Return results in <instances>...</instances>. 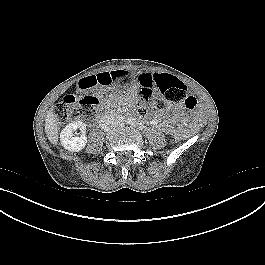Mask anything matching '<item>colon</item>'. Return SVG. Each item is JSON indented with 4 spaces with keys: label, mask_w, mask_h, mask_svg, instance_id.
I'll list each match as a JSON object with an SVG mask.
<instances>
[{
    "label": "colon",
    "mask_w": 265,
    "mask_h": 265,
    "mask_svg": "<svg viewBox=\"0 0 265 265\" xmlns=\"http://www.w3.org/2000/svg\"><path fill=\"white\" fill-rule=\"evenodd\" d=\"M150 84L158 88L160 95L156 94L151 87H143L138 94L140 105L137 112L140 116H148L153 108H160L164 101L183 105L186 110L195 108L197 101L192 96L186 85L177 77L166 73H154L150 77ZM99 99L95 95L76 97L65 96L58 102L53 113L55 118L64 122L68 119L91 120L97 113Z\"/></svg>",
    "instance_id": "1"
}]
</instances>
